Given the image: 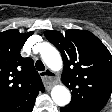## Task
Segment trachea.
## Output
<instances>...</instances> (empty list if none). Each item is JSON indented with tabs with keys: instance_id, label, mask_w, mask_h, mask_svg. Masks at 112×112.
I'll return each instance as SVG.
<instances>
[{
	"instance_id": "3493384b",
	"label": "trachea",
	"mask_w": 112,
	"mask_h": 112,
	"mask_svg": "<svg viewBox=\"0 0 112 112\" xmlns=\"http://www.w3.org/2000/svg\"><path fill=\"white\" fill-rule=\"evenodd\" d=\"M35 66H36V69L38 71H44L45 70V66H44V64L41 60H37L36 63H35Z\"/></svg>"
}]
</instances>
